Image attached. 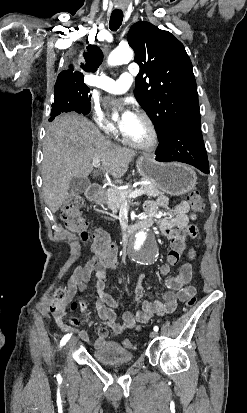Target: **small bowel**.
<instances>
[{"label": "small bowel", "mask_w": 247, "mask_h": 413, "mask_svg": "<svg viewBox=\"0 0 247 413\" xmlns=\"http://www.w3.org/2000/svg\"><path fill=\"white\" fill-rule=\"evenodd\" d=\"M145 210L149 223L157 222L164 235L173 239H183L184 236L180 234V230L187 229L191 237H199V231L195 227L189 226V221L195 220L198 214L194 212L189 215L190 205L187 201L183 200L175 206L169 207L168 199L165 196H159L154 200L147 201ZM162 210L167 211L172 218L169 220L161 219ZM189 258L191 260L196 258L193 249L189 251ZM165 266L166 263L162 264L160 269L165 270V274H167L170 269H166ZM108 267L109 265L96 252L85 263L77 265L68 281L65 302L71 301L79 292L85 291L87 284L92 281L93 290L90 296L98 297L95 310L115 336L122 334L127 329L140 330L141 325L147 324L154 316H163L174 312L179 301H185L186 298L195 299L197 296L195 286L189 284L193 274V266L190 263L183 264L174 277L166 280L165 286L168 289L166 292L163 294L157 292L156 295L159 298L155 301H142V309L135 313L124 312L122 322L118 323L115 309L118 308L119 304L110 293L104 292ZM143 294L144 284L138 283L134 289V300L140 302ZM79 304L82 312L89 315L90 310L87 302L80 300ZM55 322L64 332L76 333L81 340L91 343L97 349L103 347L114 349L116 347L114 340H107L108 333L104 328H100L99 336L92 340L86 332L76 328L81 323L78 318L68 319L66 314L61 311L55 315Z\"/></svg>", "instance_id": "small-bowel-1"}]
</instances>
